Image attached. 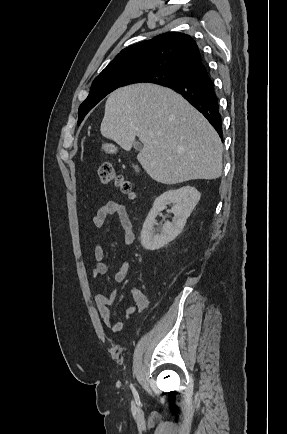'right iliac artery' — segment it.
Instances as JSON below:
<instances>
[{"label": "right iliac artery", "mask_w": 287, "mask_h": 434, "mask_svg": "<svg viewBox=\"0 0 287 434\" xmlns=\"http://www.w3.org/2000/svg\"><path fill=\"white\" fill-rule=\"evenodd\" d=\"M131 387H132V390H133V392H134V395L137 396L136 391H135L133 385H131Z\"/></svg>", "instance_id": "82829eb1"}]
</instances>
